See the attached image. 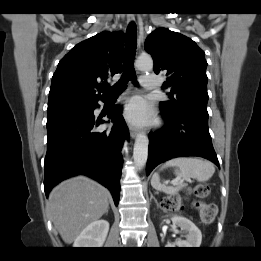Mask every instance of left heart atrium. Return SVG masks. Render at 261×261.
<instances>
[{"label": "left heart atrium", "instance_id": "left-heart-atrium-1", "mask_svg": "<svg viewBox=\"0 0 261 261\" xmlns=\"http://www.w3.org/2000/svg\"><path fill=\"white\" fill-rule=\"evenodd\" d=\"M126 117L135 123H145L150 118L147 104L139 97L132 98L125 110Z\"/></svg>", "mask_w": 261, "mask_h": 261}]
</instances>
